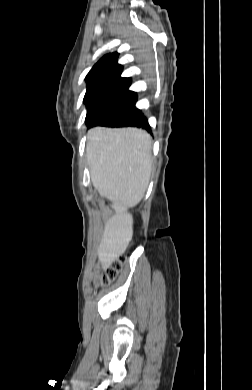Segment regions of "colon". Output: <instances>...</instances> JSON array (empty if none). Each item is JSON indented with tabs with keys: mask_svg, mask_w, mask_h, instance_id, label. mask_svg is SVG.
I'll list each match as a JSON object with an SVG mask.
<instances>
[{
	"mask_svg": "<svg viewBox=\"0 0 252 390\" xmlns=\"http://www.w3.org/2000/svg\"><path fill=\"white\" fill-rule=\"evenodd\" d=\"M126 261V257L124 255H121L111 261L104 269L102 273V283L108 284L111 281L114 280V278L118 275L120 270L122 269L123 264Z\"/></svg>",
	"mask_w": 252,
	"mask_h": 390,
	"instance_id": "1",
	"label": "colon"
}]
</instances>
